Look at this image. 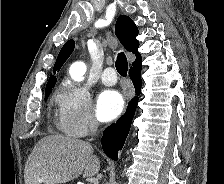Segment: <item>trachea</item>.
Returning <instances> with one entry per match:
<instances>
[{
	"mask_svg": "<svg viewBox=\"0 0 224 184\" xmlns=\"http://www.w3.org/2000/svg\"><path fill=\"white\" fill-rule=\"evenodd\" d=\"M117 72L126 77L128 71V62L125 54L123 52L119 53L117 56L116 64H115Z\"/></svg>",
	"mask_w": 224,
	"mask_h": 184,
	"instance_id": "1",
	"label": "trachea"
}]
</instances>
